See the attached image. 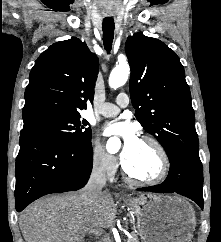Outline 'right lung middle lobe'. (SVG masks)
Returning <instances> with one entry per match:
<instances>
[{
  "label": "right lung middle lobe",
  "mask_w": 221,
  "mask_h": 242,
  "mask_svg": "<svg viewBox=\"0 0 221 242\" xmlns=\"http://www.w3.org/2000/svg\"><path fill=\"white\" fill-rule=\"evenodd\" d=\"M80 118V114H77L33 122L23 126L21 135L49 134L72 143L89 142L91 140V129L85 128L89 123Z\"/></svg>",
  "instance_id": "1"
}]
</instances>
